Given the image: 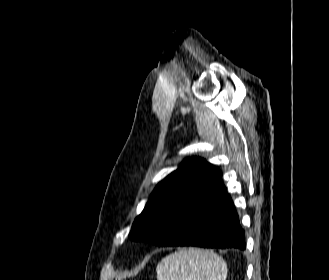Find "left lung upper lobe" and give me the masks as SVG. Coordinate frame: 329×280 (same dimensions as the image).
Listing matches in <instances>:
<instances>
[{"label":"left lung upper lobe","instance_id":"1","mask_svg":"<svg viewBox=\"0 0 329 280\" xmlns=\"http://www.w3.org/2000/svg\"><path fill=\"white\" fill-rule=\"evenodd\" d=\"M154 189L143 212L136 217L129 238L166 246L169 238L161 229L173 222L174 216L190 200L213 186L221 184V171L201 158H188Z\"/></svg>","mask_w":329,"mask_h":280}]
</instances>
